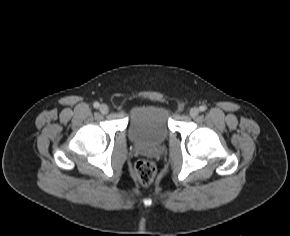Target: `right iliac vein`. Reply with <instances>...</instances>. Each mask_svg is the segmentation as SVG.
<instances>
[{
  "mask_svg": "<svg viewBox=\"0 0 290 236\" xmlns=\"http://www.w3.org/2000/svg\"><path fill=\"white\" fill-rule=\"evenodd\" d=\"M99 110L102 114H107L109 112V107L106 104H101Z\"/></svg>",
  "mask_w": 290,
  "mask_h": 236,
  "instance_id": "1",
  "label": "right iliac vein"
}]
</instances>
